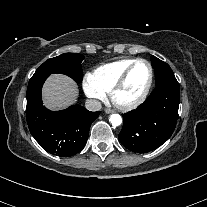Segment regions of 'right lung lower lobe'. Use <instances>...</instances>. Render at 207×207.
<instances>
[{"instance_id":"98d812e1","label":"right lung lower lobe","mask_w":207,"mask_h":207,"mask_svg":"<svg viewBox=\"0 0 207 207\" xmlns=\"http://www.w3.org/2000/svg\"><path fill=\"white\" fill-rule=\"evenodd\" d=\"M49 75L32 77L27 88L26 118L30 133L50 153L72 156L80 152L88 139L89 128L100 112H91L80 105L50 111L43 106L41 89Z\"/></svg>"}]
</instances>
